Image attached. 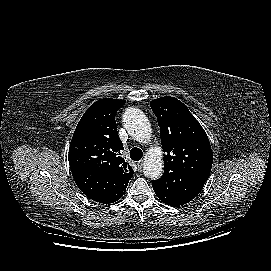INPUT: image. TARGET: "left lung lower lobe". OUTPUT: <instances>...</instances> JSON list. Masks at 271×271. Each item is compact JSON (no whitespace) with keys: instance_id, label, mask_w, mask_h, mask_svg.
I'll list each match as a JSON object with an SVG mask.
<instances>
[{"instance_id":"0a47b994","label":"left lung lower lobe","mask_w":271,"mask_h":271,"mask_svg":"<svg viewBox=\"0 0 271 271\" xmlns=\"http://www.w3.org/2000/svg\"><path fill=\"white\" fill-rule=\"evenodd\" d=\"M153 189L160 200L171 206H180L190 202L202 190L203 186L190 181L179 172H169L154 180Z\"/></svg>"}]
</instances>
